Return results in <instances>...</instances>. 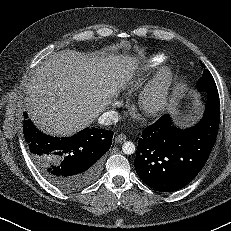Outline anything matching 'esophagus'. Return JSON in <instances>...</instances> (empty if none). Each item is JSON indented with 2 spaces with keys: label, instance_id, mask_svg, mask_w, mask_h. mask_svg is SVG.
Wrapping results in <instances>:
<instances>
[{
  "label": "esophagus",
  "instance_id": "1",
  "mask_svg": "<svg viewBox=\"0 0 231 231\" xmlns=\"http://www.w3.org/2000/svg\"><path fill=\"white\" fill-rule=\"evenodd\" d=\"M127 139L126 135L124 134H118L116 137H115V142L116 143H123L125 142Z\"/></svg>",
  "mask_w": 231,
  "mask_h": 231
}]
</instances>
